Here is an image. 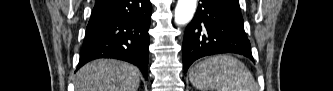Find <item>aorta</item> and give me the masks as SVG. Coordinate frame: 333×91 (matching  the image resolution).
Returning <instances> with one entry per match:
<instances>
[{
    "mask_svg": "<svg viewBox=\"0 0 333 91\" xmlns=\"http://www.w3.org/2000/svg\"><path fill=\"white\" fill-rule=\"evenodd\" d=\"M197 0H178L175 8V23L185 25L191 21L196 10Z\"/></svg>",
    "mask_w": 333,
    "mask_h": 91,
    "instance_id": "1",
    "label": "aorta"
}]
</instances>
